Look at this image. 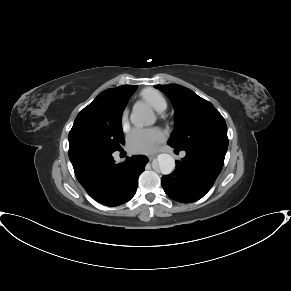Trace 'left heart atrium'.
<instances>
[{
    "label": "left heart atrium",
    "mask_w": 291,
    "mask_h": 291,
    "mask_svg": "<svg viewBox=\"0 0 291 291\" xmlns=\"http://www.w3.org/2000/svg\"><path fill=\"white\" fill-rule=\"evenodd\" d=\"M164 140L165 134L159 128H135L128 135L127 148L132 153L148 154Z\"/></svg>",
    "instance_id": "1"
}]
</instances>
